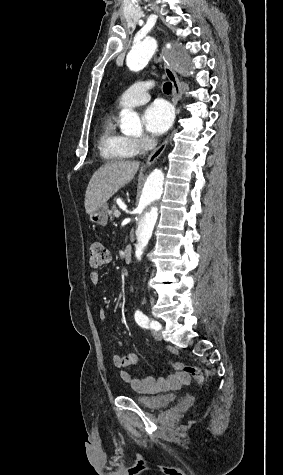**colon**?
Here are the masks:
<instances>
[{
    "mask_svg": "<svg viewBox=\"0 0 283 475\" xmlns=\"http://www.w3.org/2000/svg\"><path fill=\"white\" fill-rule=\"evenodd\" d=\"M90 265L92 267H99L105 264L109 258V252L99 242H94L89 248ZM172 368L180 374V377L189 379L193 378L198 385L204 386L206 382V374L192 365L170 364Z\"/></svg>",
    "mask_w": 283,
    "mask_h": 475,
    "instance_id": "colon-1",
    "label": "colon"
}]
</instances>
